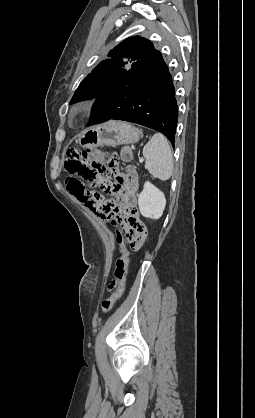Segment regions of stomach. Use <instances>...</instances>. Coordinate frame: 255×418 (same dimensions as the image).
<instances>
[{
	"label": "stomach",
	"instance_id": "obj_1",
	"mask_svg": "<svg viewBox=\"0 0 255 418\" xmlns=\"http://www.w3.org/2000/svg\"><path fill=\"white\" fill-rule=\"evenodd\" d=\"M140 137L141 131L133 125L113 121L86 129L79 138V144L84 148L117 146L136 143Z\"/></svg>",
	"mask_w": 255,
	"mask_h": 418
}]
</instances>
